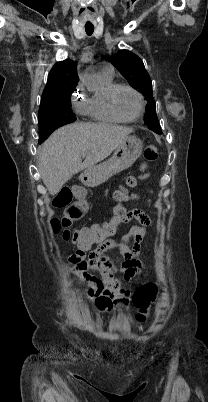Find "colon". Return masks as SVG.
<instances>
[{
  "label": "colon",
  "instance_id": "5ec220e1",
  "mask_svg": "<svg viewBox=\"0 0 208 402\" xmlns=\"http://www.w3.org/2000/svg\"><path fill=\"white\" fill-rule=\"evenodd\" d=\"M144 159L147 163L156 161L158 157V148L155 144H147L144 152ZM126 186L120 187L113 192V198L115 200L113 215L99 223L93 224L90 227L82 228L73 232L71 226L74 222H81L83 219L82 214L88 212V207L83 205H69L64 211V215L51 221V227L54 229V234H58L60 228H63L61 237L65 241H72L78 247L74 249V253H68L67 259L70 263H81L85 259V253L87 249L91 248L92 244H100L107 235H113V231H117L120 225L126 219V210L123 204L126 201L128 189H133L136 186L137 179L135 176H129L126 178ZM76 192H84L85 189L82 185L75 186ZM157 287L153 282H147L137 288L133 297V303L139 310L136 318L138 321L145 320V310L149 303L156 298ZM95 306L98 310L106 312H112L113 306L116 304L110 296L96 297Z\"/></svg>",
  "mask_w": 208,
  "mask_h": 402
}]
</instances>
